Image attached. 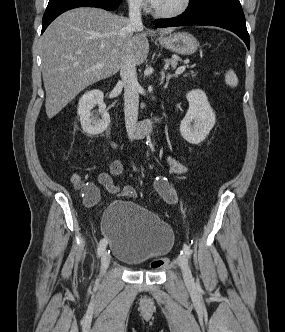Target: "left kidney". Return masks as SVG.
Returning <instances> with one entry per match:
<instances>
[{
    "mask_svg": "<svg viewBox=\"0 0 285 332\" xmlns=\"http://www.w3.org/2000/svg\"><path fill=\"white\" fill-rule=\"evenodd\" d=\"M186 98L189 102V109L181 121L180 132L187 142L197 145L209 135L216 118L207 96L202 90H192L187 93Z\"/></svg>",
    "mask_w": 285,
    "mask_h": 332,
    "instance_id": "1",
    "label": "left kidney"
}]
</instances>
